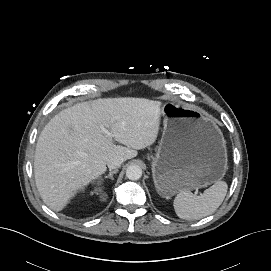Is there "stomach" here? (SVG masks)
<instances>
[{"instance_id":"stomach-1","label":"stomach","mask_w":271,"mask_h":271,"mask_svg":"<svg viewBox=\"0 0 271 271\" xmlns=\"http://www.w3.org/2000/svg\"><path fill=\"white\" fill-rule=\"evenodd\" d=\"M163 133L152 175L157 193L166 199L206 187L227 169V147L216 123L201 110L170 102L162 107Z\"/></svg>"}]
</instances>
